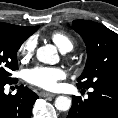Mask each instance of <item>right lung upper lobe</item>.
<instances>
[{"mask_svg": "<svg viewBox=\"0 0 118 118\" xmlns=\"http://www.w3.org/2000/svg\"><path fill=\"white\" fill-rule=\"evenodd\" d=\"M3 24L13 30H15L16 32L25 35L27 38L29 36H31L33 33H35L37 31V29L39 28V26H34V27H27V26H17V25H12V24H8V23H0Z\"/></svg>", "mask_w": 118, "mask_h": 118, "instance_id": "right-lung-upper-lobe-1", "label": "right lung upper lobe"}]
</instances>
